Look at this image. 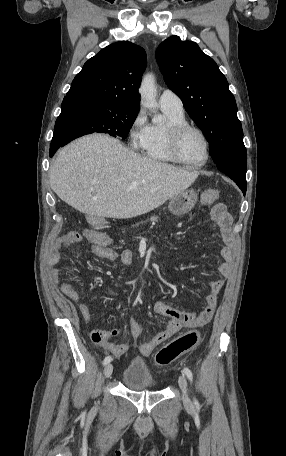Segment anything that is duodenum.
<instances>
[{
	"mask_svg": "<svg viewBox=\"0 0 286 456\" xmlns=\"http://www.w3.org/2000/svg\"><path fill=\"white\" fill-rule=\"evenodd\" d=\"M104 220H105L104 218H98V221L100 224H104Z\"/></svg>",
	"mask_w": 286,
	"mask_h": 456,
	"instance_id": "duodenum-1",
	"label": "duodenum"
}]
</instances>
